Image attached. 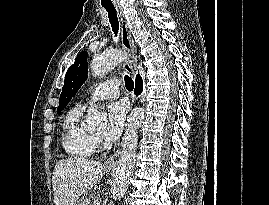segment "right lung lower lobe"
Segmentation results:
<instances>
[{"label":"right lung lower lobe","instance_id":"obj_1","mask_svg":"<svg viewBox=\"0 0 269 205\" xmlns=\"http://www.w3.org/2000/svg\"><path fill=\"white\" fill-rule=\"evenodd\" d=\"M143 83H142V79L139 75H137L136 77V86H135V94H140L142 92L143 89Z\"/></svg>","mask_w":269,"mask_h":205}]
</instances>
